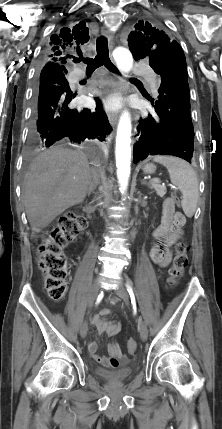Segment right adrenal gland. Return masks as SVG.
<instances>
[{"label":"right adrenal gland","instance_id":"1","mask_svg":"<svg viewBox=\"0 0 222 429\" xmlns=\"http://www.w3.org/2000/svg\"><path fill=\"white\" fill-rule=\"evenodd\" d=\"M95 189H96V184L95 183H91L89 185L88 190H87V195L90 196L91 193H94Z\"/></svg>","mask_w":222,"mask_h":429}]
</instances>
